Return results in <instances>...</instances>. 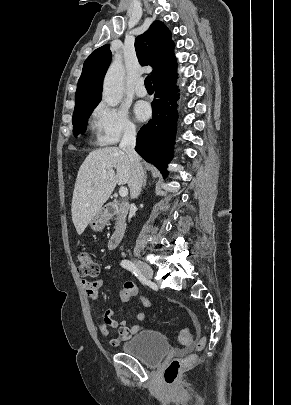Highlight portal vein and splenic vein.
Segmentation results:
<instances>
[{
    "label": "portal vein and splenic vein",
    "instance_id": "18ae733b",
    "mask_svg": "<svg viewBox=\"0 0 291 405\" xmlns=\"http://www.w3.org/2000/svg\"><path fill=\"white\" fill-rule=\"evenodd\" d=\"M119 195L121 197H126L128 195V190L126 187H121L119 190Z\"/></svg>",
    "mask_w": 291,
    "mask_h": 405
}]
</instances>
